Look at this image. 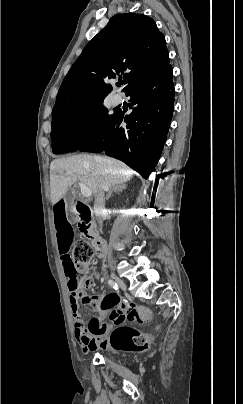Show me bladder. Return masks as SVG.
I'll return each mask as SVG.
<instances>
[{
    "label": "bladder",
    "instance_id": "obj_1",
    "mask_svg": "<svg viewBox=\"0 0 243 404\" xmlns=\"http://www.w3.org/2000/svg\"><path fill=\"white\" fill-rule=\"evenodd\" d=\"M104 357H105L106 360L108 359V355H104Z\"/></svg>",
    "mask_w": 243,
    "mask_h": 404
}]
</instances>
